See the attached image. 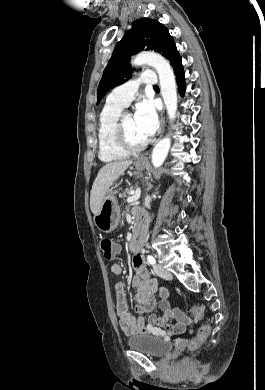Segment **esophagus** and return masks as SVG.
Returning <instances> with one entry per match:
<instances>
[{"label": "esophagus", "instance_id": "34e87169", "mask_svg": "<svg viewBox=\"0 0 265 390\" xmlns=\"http://www.w3.org/2000/svg\"><path fill=\"white\" fill-rule=\"evenodd\" d=\"M164 128H165V109H163L162 113H161V134H160V138L162 137L163 133H164ZM147 160L146 157H143L140 159V162H145Z\"/></svg>", "mask_w": 265, "mask_h": 390}]
</instances>
